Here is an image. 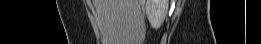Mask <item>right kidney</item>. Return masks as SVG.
<instances>
[{
	"mask_svg": "<svg viewBox=\"0 0 261 44\" xmlns=\"http://www.w3.org/2000/svg\"><path fill=\"white\" fill-rule=\"evenodd\" d=\"M168 0H147L146 15L152 28L158 29L167 14Z\"/></svg>",
	"mask_w": 261,
	"mask_h": 44,
	"instance_id": "1",
	"label": "right kidney"
}]
</instances>
